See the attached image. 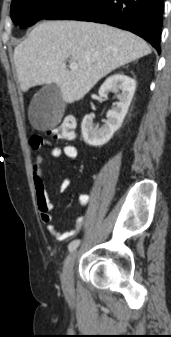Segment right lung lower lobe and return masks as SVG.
<instances>
[{
  "label": "right lung lower lobe",
  "instance_id": "1",
  "mask_svg": "<svg viewBox=\"0 0 171 337\" xmlns=\"http://www.w3.org/2000/svg\"><path fill=\"white\" fill-rule=\"evenodd\" d=\"M164 0H69L45 19L106 23L131 31L158 52Z\"/></svg>",
  "mask_w": 171,
  "mask_h": 337
}]
</instances>
